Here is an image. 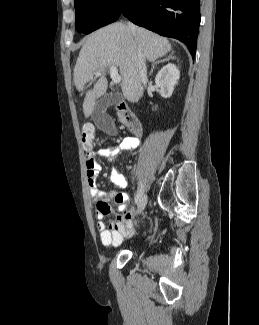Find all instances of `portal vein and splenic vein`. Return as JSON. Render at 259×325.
<instances>
[{
    "mask_svg": "<svg viewBox=\"0 0 259 325\" xmlns=\"http://www.w3.org/2000/svg\"><path fill=\"white\" fill-rule=\"evenodd\" d=\"M97 77L101 76V72L98 71L95 74ZM110 76L112 78V81L117 84L121 82L122 77L118 74V69L116 66H111L110 67Z\"/></svg>",
    "mask_w": 259,
    "mask_h": 325,
    "instance_id": "portal-vein-and-splenic-vein-1",
    "label": "portal vein and splenic vein"
}]
</instances>
